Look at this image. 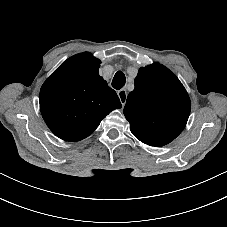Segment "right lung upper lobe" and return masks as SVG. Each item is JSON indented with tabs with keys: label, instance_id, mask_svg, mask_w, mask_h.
Returning a JSON list of instances; mask_svg holds the SVG:
<instances>
[{
	"label": "right lung upper lobe",
	"instance_id": "1",
	"mask_svg": "<svg viewBox=\"0 0 227 227\" xmlns=\"http://www.w3.org/2000/svg\"><path fill=\"white\" fill-rule=\"evenodd\" d=\"M100 60L89 52L67 59L43 84L40 110L50 130L66 141L88 137L112 110L122 105L99 76Z\"/></svg>",
	"mask_w": 227,
	"mask_h": 227
}]
</instances>
